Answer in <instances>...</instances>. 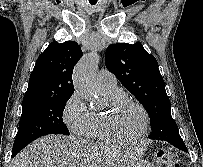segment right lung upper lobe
I'll list each match as a JSON object with an SVG mask.
<instances>
[{"label":"right lung upper lobe","mask_w":203,"mask_h":167,"mask_svg":"<svg viewBox=\"0 0 203 167\" xmlns=\"http://www.w3.org/2000/svg\"><path fill=\"white\" fill-rule=\"evenodd\" d=\"M82 55L74 41L50 43L36 61L23 102L71 96L74 93L73 68Z\"/></svg>","instance_id":"right-lung-upper-lobe-1"}]
</instances>
